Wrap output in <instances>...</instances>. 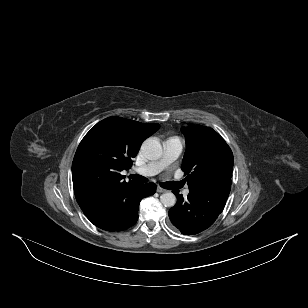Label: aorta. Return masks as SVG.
Listing matches in <instances>:
<instances>
[{"instance_id":"762f6f07","label":"aorta","mask_w":308,"mask_h":308,"mask_svg":"<svg viewBox=\"0 0 308 308\" xmlns=\"http://www.w3.org/2000/svg\"><path fill=\"white\" fill-rule=\"evenodd\" d=\"M141 151L149 160L159 159L163 152L160 142L153 138H148L142 143ZM160 201L165 207H173L176 204V196L172 192H165L160 196Z\"/></svg>"}]
</instances>
